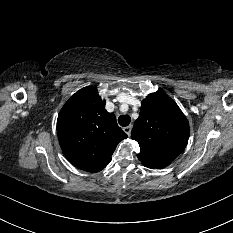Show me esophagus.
<instances>
[{"instance_id":"1","label":"esophagus","mask_w":233,"mask_h":233,"mask_svg":"<svg viewBox=\"0 0 233 233\" xmlns=\"http://www.w3.org/2000/svg\"><path fill=\"white\" fill-rule=\"evenodd\" d=\"M131 129H132V126L130 125V126H127V127H124V132L128 135V136H130V134H131Z\"/></svg>"}]
</instances>
